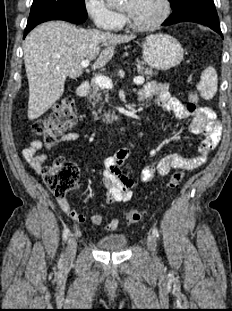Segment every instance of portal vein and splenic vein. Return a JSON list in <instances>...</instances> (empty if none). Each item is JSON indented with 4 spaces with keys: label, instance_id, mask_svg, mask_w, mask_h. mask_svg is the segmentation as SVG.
<instances>
[{
    "label": "portal vein and splenic vein",
    "instance_id": "obj_1",
    "mask_svg": "<svg viewBox=\"0 0 232 311\" xmlns=\"http://www.w3.org/2000/svg\"><path fill=\"white\" fill-rule=\"evenodd\" d=\"M90 64V60L85 59L81 62L82 67H87ZM145 81L144 77L142 76H137L133 79V82L137 85L143 84ZM94 82L99 85L102 88L106 89H112L113 88V82L109 77L106 76H97L94 78Z\"/></svg>",
    "mask_w": 232,
    "mask_h": 311
}]
</instances>
